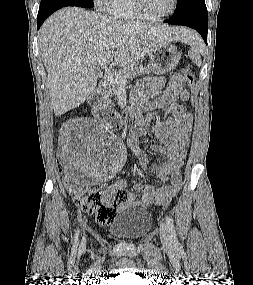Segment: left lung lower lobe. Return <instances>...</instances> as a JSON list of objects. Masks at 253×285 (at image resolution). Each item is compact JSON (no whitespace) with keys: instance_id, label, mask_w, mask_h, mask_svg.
<instances>
[{"instance_id":"0a47b994","label":"left lung lower lobe","mask_w":253,"mask_h":285,"mask_svg":"<svg viewBox=\"0 0 253 285\" xmlns=\"http://www.w3.org/2000/svg\"><path fill=\"white\" fill-rule=\"evenodd\" d=\"M164 22L184 25L197 30L207 44L208 14L205 0H190Z\"/></svg>"}]
</instances>
